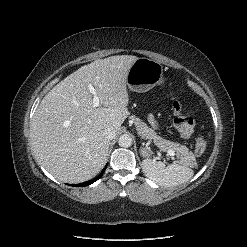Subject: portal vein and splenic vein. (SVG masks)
<instances>
[{"label": "portal vein and splenic vein", "instance_id": "1", "mask_svg": "<svg viewBox=\"0 0 247 247\" xmlns=\"http://www.w3.org/2000/svg\"><path fill=\"white\" fill-rule=\"evenodd\" d=\"M88 90L93 95V107H98L100 99L97 95V92H96L94 86H93V83L88 84ZM167 154L170 155L171 157L175 156V152L173 150H170V149L167 150Z\"/></svg>", "mask_w": 247, "mask_h": 247}]
</instances>
